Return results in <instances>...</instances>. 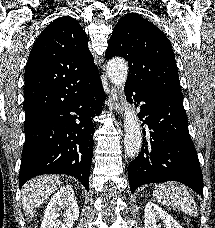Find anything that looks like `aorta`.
Segmentation results:
<instances>
[{
	"label": "aorta",
	"mask_w": 215,
	"mask_h": 228,
	"mask_svg": "<svg viewBox=\"0 0 215 228\" xmlns=\"http://www.w3.org/2000/svg\"><path fill=\"white\" fill-rule=\"evenodd\" d=\"M128 64L121 58H115L110 60L107 66V74L109 80L114 84L115 88H118L122 94H124L126 80L128 76ZM124 112V130H125V152L128 158H135L138 156V152L142 144V130L139 122V118L133 110L131 104L126 102V98L123 102Z\"/></svg>",
	"instance_id": "762f6f07"
}]
</instances>
